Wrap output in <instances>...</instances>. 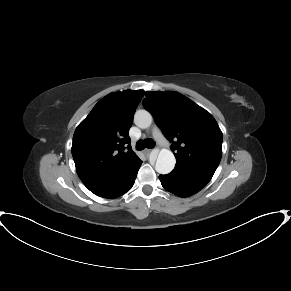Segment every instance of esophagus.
I'll use <instances>...</instances> for the list:
<instances>
[{"mask_svg":"<svg viewBox=\"0 0 291 291\" xmlns=\"http://www.w3.org/2000/svg\"><path fill=\"white\" fill-rule=\"evenodd\" d=\"M150 152H151V149H147L146 148V149L143 150V153L146 154V155H148Z\"/></svg>","mask_w":291,"mask_h":291,"instance_id":"esophagus-1","label":"esophagus"}]
</instances>
